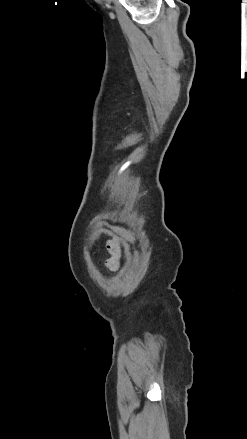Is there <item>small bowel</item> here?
<instances>
[{
  "label": "small bowel",
  "instance_id": "1",
  "mask_svg": "<svg viewBox=\"0 0 247 439\" xmlns=\"http://www.w3.org/2000/svg\"><path fill=\"white\" fill-rule=\"evenodd\" d=\"M108 250L110 251L111 256L105 260V266L111 270L116 271L119 267V259H120V244L117 239L108 242Z\"/></svg>",
  "mask_w": 247,
  "mask_h": 439
}]
</instances>
